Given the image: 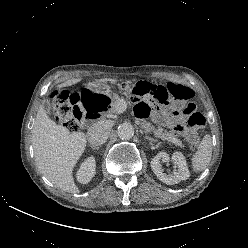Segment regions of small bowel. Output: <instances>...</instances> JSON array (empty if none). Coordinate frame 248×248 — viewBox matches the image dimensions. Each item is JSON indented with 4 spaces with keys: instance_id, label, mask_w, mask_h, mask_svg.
<instances>
[{
    "instance_id": "obj_1",
    "label": "small bowel",
    "mask_w": 248,
    "mask_h": 248,
    "mask_svg": "<svg viewBox=\"0 0 248 248\" xmlns=\"http://www.w3.org/2000/svg\"><path fill=\"white\" fill-rule=\"evenodd\" d=\"M135 114L138 118L153 117V120L159 124H164L174 129L178 133L188 136L189 128L181 122L178 114H165L156 111L149 103L143 102L135 107Z\"/></svg>"
}]
</instances>
